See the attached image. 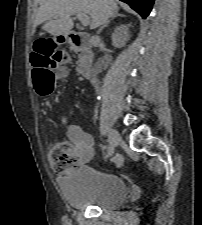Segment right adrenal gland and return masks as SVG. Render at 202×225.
<instances>
[{
	"label": "right adrenal gland",
	"instance_id": "2a0ac1e0",
	"mask_svg": "<svg viewBox=\"0 0 202 225\" xmlns=\"http://www.w3.org/2000/svg\"><path fill=\"white\" fill-rule=\"evenodd\" d=\"M116 17H125V15H124V14H119L118 12H115V13L110 17V19H108V20L104 23V25H103L102 27H100V29L97 31V34H100V32H101L105 27H107V26L109 25V23H110L113 19H115Z\"/></svg>",
	"mask_w": 202,
	"mask_h": 225
}]
</instances>
